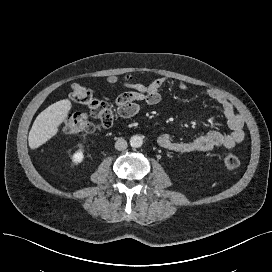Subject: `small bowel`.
I'll list each match as a JSON object with an SVG mask.
<instances>
[{
  "label": "small bowel",
  "instance_id": "1",
  "mask_svg": "<svg viewBox=\"0 0 272 272\" xmlns=\"http://www.w3.org/2000/svg\"><path fill=\"white\" fill-rule=\"evenodd\" d=\"M168 82L175 83L181 90L189 89L183 81L168 77L157 78L147 85L125 83V87L133 90L123 92L116 98L115 105L118 115L121 118L129 119L137 115L144 107L158 104L161 101V89ZM206 94L221 108L230 132L222 133L212 130L191 141H177L169 134H162L158 138V143L162 148L176 153L209 151L217 147L232 149L244 140L245 120L243 115L219 91L208 89Z\"/></svg>",
  "mask_w": 272,
  "mask_h": 272
}]
</instances>
